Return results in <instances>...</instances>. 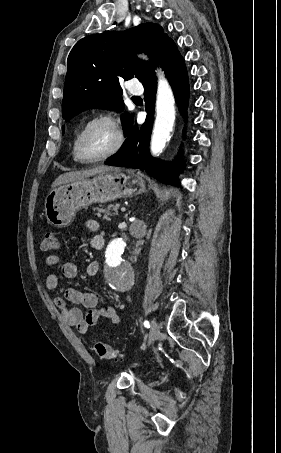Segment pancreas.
<instances>
[{
	"label": "pancreas",
	"mask_w": 281,
	"mask_h": 453,
	"mask_svg": "<svg viewBox=\"0 0 281 453\" xmlns=\"http://www.w3.org/2000/svg\"><path fill=\"white\" fill-rule=\"evenodd\" d=\"M112 204H108V208H93V210H98L96 212L97 216H103V218H106V220H111L110 216H114V214H118L117 208H119V204H116V206H113L112 212L111 210Z\"/></svg>",
	"instance_id": "cf45deb5"
}]
</instances>
